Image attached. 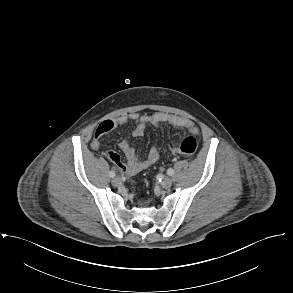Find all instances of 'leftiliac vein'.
<instances>
[{
    "instance_id": "4c4485c4",
    "label": "left iliac vein",
    "mask_w": 293,
    "mask_h": 293,
    "mask_svg": "<svg viewBox=\"0 0 293 293\" xmlns=\"http://www.w3.org/2000/svg\"><path fill=\"white\" fill-rule=\"evenodd\" d=\"M172 185V180L169 177H164L161 182L163 188H169Z\"/></svg>"
}]
</instances>
